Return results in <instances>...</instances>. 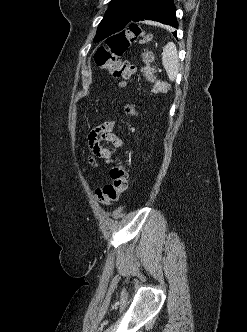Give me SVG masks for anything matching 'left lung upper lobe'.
I'll list each match as a JSON object with an SVG mask.
<instances>
[{"label": "left lung upper lobe", "mask_w": 247, "mask_h": 332, "mask_svg": "<svg viewBox=\"0 0 247 332\" xmlns=\"http://www.w3.org/2000/svg\"><path fill=\"white\" fill-rule=\"evenodd\" d=\"M148 0H111L104 18L100 22L94 42L124 30L130 19Z\"/></svg>", "instance_id": "left-lung-upper-lobe-1"}]
</instances>
